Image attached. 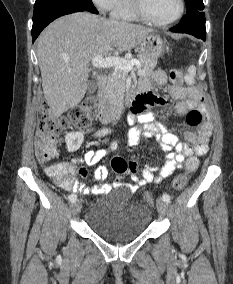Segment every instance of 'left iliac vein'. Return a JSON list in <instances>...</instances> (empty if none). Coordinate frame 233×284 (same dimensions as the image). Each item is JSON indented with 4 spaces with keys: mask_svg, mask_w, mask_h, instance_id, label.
<instances>
[{
    "mask_svg": "<svg viewBox=\"0 0 233 284\" xmlns=\"http://www.w3.org/2000/svg\"><path fill=\"white\" fill-rule=\"evenodd\" d=\"M157 211L161 216L166 215L168 211V204L163 199H158L156 203Z\"/></svg>",
    "mask_w": 233,
    "mask_h": 284,
    "instance_id": "4c4485c4",
    "label": "left iliac vein"
}]
</instances>
